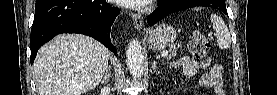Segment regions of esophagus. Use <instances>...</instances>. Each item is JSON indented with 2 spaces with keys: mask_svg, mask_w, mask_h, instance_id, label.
Wrapping results in <instances>:
<instances>
[{
  "mask_svg": "<svg viewBox=\"0 0 277 95\" xmlns=\"http://www.w3.org/2000/svg\"><path fill=\"white\" fill-rule=\"evenodd\" d=\"M132 18H133L134 28L136 30H140L143 27V24H144L143 18L139 14H136V13L132 14Z\"/></svg>",
  "mask_w": 277,
  "mask_h": 95,
  "instance_id": "1",
  "label": "esophagus"
}]
</instances>
